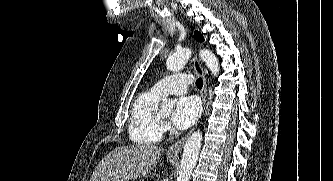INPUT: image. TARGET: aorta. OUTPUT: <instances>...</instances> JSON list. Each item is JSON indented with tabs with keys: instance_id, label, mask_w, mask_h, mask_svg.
<instances>
[{
	"instance_id": "obj_1",
	"label": "aorta",
	"mask_w": 333,
	"mask_h": 181,
	"mask_svg": "<svg viewBox=\"0 0 333 181\" xmlns=\"http://www.w3.org/2000/svg\"><path fill=\"white\" fill-rule=\"evenodd\" d=\"M191 56V50L189 48H183L170 56L166 61V67L172 72L181 70L188 62ZM199 56L206 63L214 76L219 74V61L217 57L208 49L200 51ZM174 105V100L164 99L162 102V108H171ZM202 133L200 131L194 132L186 141L179 171V177L177 181H189L193 169L196 166L199 152L201 149Z\"/></svg>"
}]
</instances>
